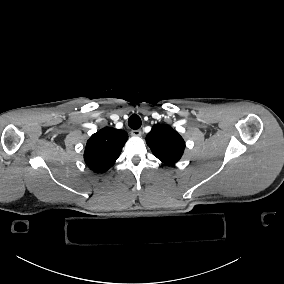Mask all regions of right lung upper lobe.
I'll list each match as a JSON object with an SVG mask.
<instances>
[{
    "mask_svg": "<svg viewBox=\"0 0 284 284\" xmlns=\"http://www.w3.org/2000/svg\"><path fill=\"white\" fill-rule=\"evenodd\" d=\"M128 134L123 130L105 127L87 141L84 160L96 173L106 172L120 156Z\"/></svg>",
    "mask_w": 284,
    "mask_h": 284,
    "instance_id": "1",
    "label": "right lung upper lobe"
}]
</instances>
